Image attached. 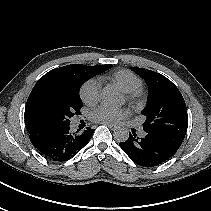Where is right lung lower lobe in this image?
I'll use <instances>...</instances> for the list:
<instances>
[{"mask_svg": "<svg viewBox=\"0 0 211 211\" xmlns=\"http://www.w3.org/2000/svg\"><path fill=\"white\" fill-rule=\"evenodd\" d=\"M94 130L70 132L68 125L29 133L33 146L47 159L63 162L74 157L91 139Z\"/></svg>", "mask_w": 211, "mask_h": 211, "instance_id": "obj_1", "label": "right lung lower lobe"}]
</instances>
